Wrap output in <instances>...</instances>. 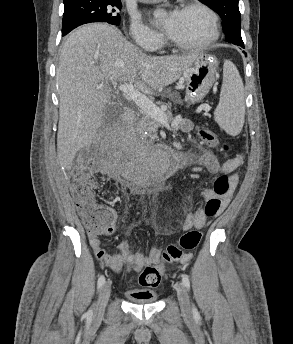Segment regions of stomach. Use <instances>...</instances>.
I'll use <instances>...</instances> for the list:
<instances>
[{"instance_id":"obj_1","label":"stomach","mask_w":293,"mask_h":344,"mask_svg":"<svg viewBox=\"0 0 293 344\" xmlns=\"http://www.w3.org/2000/svg\"><path fill=\"white\" fill-rule=\"evenodd\" d=\"M216 58L201 53L181 75L180 82L186 87L189 103L201 101L209 92L217 77Z\"/></svg>"}]
</instances>
